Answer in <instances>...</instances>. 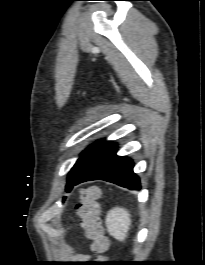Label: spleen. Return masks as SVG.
Returning a JSON list of instances; mask_svg holds the SVG:
<instances>
[{"label": "spleen", "mask_w": 205, "mask_h": 265, "mask_svg": "<svg viewBox=\"0 0 205 265\" xmlns=\"http://www.w3.org/2000/svg\"><path fill=\"white\" fill-rule=\"evenodd\" d=\"M105 221L111 236L119 241L126 239L131 226V215L128 210L115 207L107 213Z\"/></svg>", "instance_id": "3e777b00"}]
</instances>
